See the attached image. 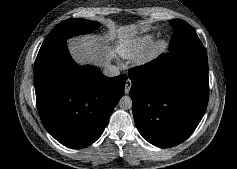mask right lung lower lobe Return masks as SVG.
Wrapping results in <instances>:
<instances>
[{
    "mask_svg": "<svg viewBox=\"0 0 237 169\" xmlns=\"http://www.w3.org/2000/svg\"><path fill=\"white\" fill-rule=\"evenodd\" d=\"M126 75L106 77L95 67L79 66L67 39L43 42L34 66L41 121L61 144L83 148L103 133L124 93Z\"/></svg>",
    "mask_w": 237,
    "mask_h": 169,
    "instance_id": "98d812e1",
    "label": "right lung lower lobe"
}]
</instances>
